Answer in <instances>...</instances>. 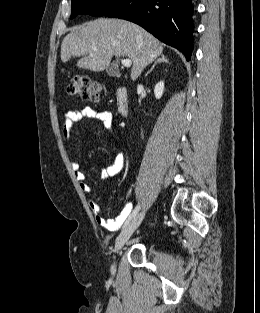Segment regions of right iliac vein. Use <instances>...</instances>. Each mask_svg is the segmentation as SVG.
Listing matches in <instances>:
<instances>
[{
	"instance_id": "63e3f726",
	"label": "right iliac vein",
	"mask_w": 260,
	"mask_h": 313,
	"mask_svg": "<svg viewBox=\"0 0 260 313\" xmlns=\"http://www.w3.org/2000/svg\"><path fill=\"white\" fill-rule=\"evenodd\" d=\"M145 216V212H140L120 233L116 240L115 244V250L118 252L121 250L124 245L127 243V241L130 239L134 231L138 228V226L141 224L143 218ZM111 270L114 273L116 270L115 263L111 266Z\"/></svg>"
}]
</instances>
